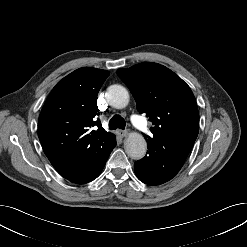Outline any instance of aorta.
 Instances as JSON below:
<instances>
[{"mask_svg": "<svg viewBox=\"0 0 247 247\" xmlns=\"http://www.w3.org/2000/svg\"><path fill=\"white\" fill-rule=\"evenodd\" d=\"M129 92L121 85H111L107 89V101L116 109H123L129 103ZM125 152L132 159H141L147 152V142L139 133H130L124 141Z\"/></svg>", "mask_w": 247, "mask_h": 247, "instance_id": "1", "label": "aorta"}]
</instances>
